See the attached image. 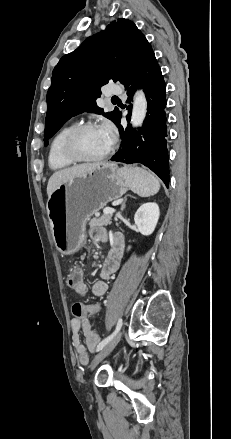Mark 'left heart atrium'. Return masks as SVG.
<instances>
[{
  "instance_id": "left-heart-atrium-1",
  "label": "left heart atrium",
  "mask_w": 231,
  "mask_h": 439,
  "mask_svg": "<svg viewBox=\"0 0 231 439\" xmlns=\"http://www.w3.org/2000/svg\"><path fill=\"white\" fill-rule=\"evenodd\" d=\"M101 131L106 136L109 144H112L115 140V129L113 125L109 122H105L101 127Z\"/></svg>"
}]
</instances>
